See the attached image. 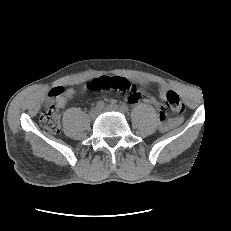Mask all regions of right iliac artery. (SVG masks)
I'll return each instance as SVG.
<instances>
[{
	"mask_svg": "<svg viewBox=\"0 0 231 231\" xmlns=\"http://www.w3.org/2000/svg\"><path fill=\"white\" fill-rule=\"evenodd\" d=\"M104 106H105L104 102L103 101H99L97 103V105H96V108L99 109V110H101V109L104 108Z\"/></svg>",
	"mask_w": 231,
	"mask_h": 231,
	"instance_id": "right-iliac-artery-1",
	"label": "right iliac artery"
}]
</instances>
